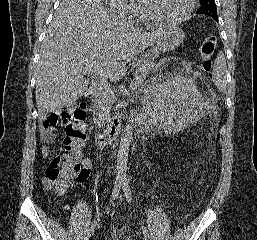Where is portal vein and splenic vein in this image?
Returning a JSON list of instances; mask_svg holds the SVG:
<instances>
[{
	"label": "portal vein and splenic vein",
	"instance_id": "18ae733b",
	"mask_svg": "<svg viewBox=\"0 0 257 240\" xmlns=\"http://www.w3.org/2000/svg\"><path fill=\"white\" fill-rule=\"evenodd\" d=\"M83 68L86 72L93 73L94 76L100 80L101 85L105 86L104 71L102 70V67H101V61H93L91 63L87 62L85 63ZM105 89L109 90V88H106V87ZM110 93L113 94V92L111 91Z\"/></svg>",
	"mask_w": 257,
	"mask_h": 240
}]
</instances>
